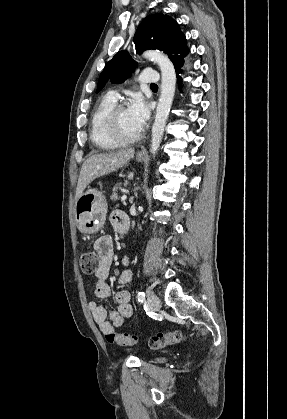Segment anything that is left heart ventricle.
<instances>
[{
	"mask_svg": "<svg viewBox=\"0 0 287 419\" xmlns=\"http://www.w3.org/2000/svg\"><path fill=\"white\" fill-rule=\"evenodd\" d=\"M118 123L121 132L125 136H134L140 133V130L134 125L127 109H122L118 114Z\"/></svg>",
	"mask_w": 287,
	"mask_h": 419,
	"instance_id": "left-heart-ventricle-1",
	"label": "left heart ventricle"
}]
</instances>
